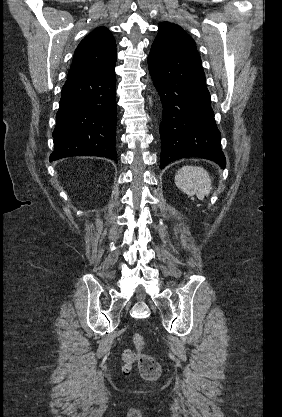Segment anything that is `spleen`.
Here are the masks:
<instances>
[{
  "mask_svg": "<svg viewBox=\"0 0 282 417\" xmlns=\"http://www.w3.org/2000/svg\"><path fill=\"white\" fill-rule=\"evenodd\" d=\"M175 182L188 196L196 194L200 200H203L212 188L211 178L202 166H182L175 174Z\"/></svg>",
  "mask_w": 282,
  "mask_h": 417,
  "instance_id": "1",
  "label": "spleen"
}]
</instances>
